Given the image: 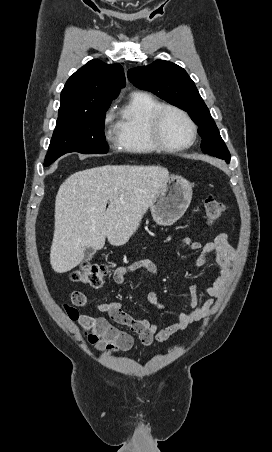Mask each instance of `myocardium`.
I'll use <instances>...</instances> for the list:
<instances>
[{"mask_svg":"<svg viewBox=\"0 0 272 452\" xmlns=\"http://www.w3.org/2000/svg\"><path fill=\"white\" fill-rule=\"evenodd\" d=\"M167 111H174L180 114L187 122L190 128V138L187 142L179 145H171L165 141L162 135V129H161V122L163 115ZM150 128V135L153 140V142L156 144V146L165 151H181L184 149L189 148L196 140L197 136V126L193 119L190 117V115L182 108L171 105V104H163L161 107H159L155 113L152 115L149 123Z\"/></svg>","mask_w":272,"mask_h":452,"instance_id":"1","label":"myocardium"}]
</instances>
